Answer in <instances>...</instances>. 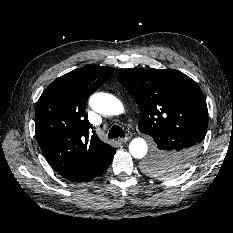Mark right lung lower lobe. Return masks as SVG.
<instances>
[{"instance_id":"98d812e1","label":"right lung lower lobe","mask_w":233,"mask_h":233,"mask_svg":"<svg viewBox=\"0 0 233 233\" xmlns=\"http://www.w3.org/2000/svg\"><path fill=\"white\" fill-rule=\"evenodd\" d=\"M116 149H114L110 155L108 156V158L99 166L97 167H87V168H81V169H77L73 172H71L69 175H67L66 179L73 181V182H82V181H89L99 175H101L102 173L105 172V170L108 168V166L110 165L113 156L115 154Z\"/></svg>"}]
</instances>
